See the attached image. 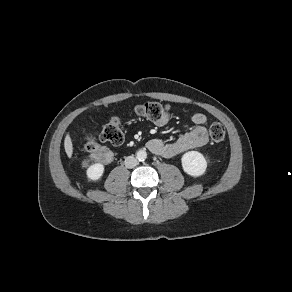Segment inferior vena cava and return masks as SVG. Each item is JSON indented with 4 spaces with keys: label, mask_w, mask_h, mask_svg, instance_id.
<instances>
[{
    "label": "inferior vena cava",
    "mask_w": 292,
    "mask_h": 292,
    "mask_svg": "<svg viewBox=\"0 0 292 292\" xmlns=\"http://www.w3.org/2000/svg\"><path fill=\"white\" fill-rule=\"evenodd\" d=\"M137 165V159L133 156H128L125 158V166L127 168H134Z\"/></svg>",
    "instance_id": "1"
}]
</instances>
